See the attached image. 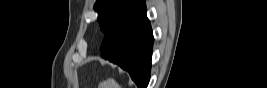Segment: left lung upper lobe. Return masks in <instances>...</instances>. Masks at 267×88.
I'll return each instance as SVG.
<instances>
[{
	"instance_id": "obj_1",
	"label": "left lung upper lobe",
	"mask_w": 267,
	"mask_h": 88,
	"mask_svg": "<svg viewBox=\"0 0 267 88\" xmlns=\"http://www.w3.org/2000/svg\"><path fill=\"white\" fill-rule=\"evenodd\" d=\"M142 2L143 0H97L94 9L98 13L100 29L106 34L123 15Z\"/></svg>"
}]
</instances>
